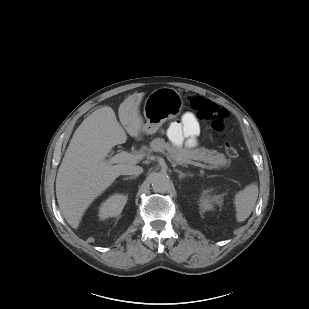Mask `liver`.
I'll list each match as a JSON object with an SVG mask.
<instances>
[{"label":"liver","instance_id":"6515ba94","mask_svg":"<svg viewBox=\"0 0 309 309\" xmlns=\"http://www.w3.org/2000/svg\"><path fill=\"white\" fill-rule=\"evenodd\" d=\"M144 95V92L133 94L120 104L118 115L122 126L113 109L105 106L91 113L73 134L56 177L58 205L72 228H78L86 209L121 171L137 163L112 165L105 158L114 146L126 142V132L135 138L140 136L144 124L139 105Z\"/></svg>","mask_w":309,"mask_h":309}]
</instances>
